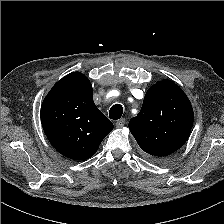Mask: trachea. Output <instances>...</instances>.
<instances>
[{
	"mask_svg": "<svg viewBox=\"0 0 224 224\" xmlns=\"http://www.w3.org/2000/svg\"><path fill=\"white\" fill-rule=\"evenodd\" d=\"M123 114V107L120 104H115L111 107L109 111L110 119L117 120L120 119Z\"/></svg>",
	"mask_w": 224,
	"mask_h": 224,
	"instance_id": "obj_1",
	"label": "trachea"
}]
</instances>
